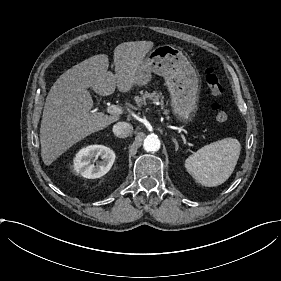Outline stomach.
<instances>
[{"mask_svg":"<svg viewBox=\"0 0 281 281\" xmlns=\"http://www.w3.org/2000/svg\"><path fill=\"white\" fill-rule=\"evenodd\" d=\"M153 73L164 77L178 116L183 120L190 119L191 113L196 111L199 76L183 51L168 44L150 50L136 66L134 85L146 86Z\"/></svg>","mask_w":281,"mask_h":281,"instance_id":"stomach-1","label":"stomach"}]
</instances>
